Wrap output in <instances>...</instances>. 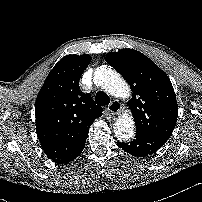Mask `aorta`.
<instances>
[{"mask_svg":"<svg viewBox=\"0 0 202 202\" xmlns=\"http://www.w3.org/2000/svg\"><path fill=\"white\" fill-rule=\"evenodd\" d=\"M94 80L104 91L113 96L127 98L130 95V88L124 79L106 66L95 69ZM114 133L120 141H127L132 138L135 133L133 118L124 114L114 124Z\"/></svg>","mask_w":202,"mask_h":202,"instance_id":"1","label":"aorta"}]
</instances>
